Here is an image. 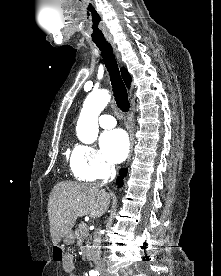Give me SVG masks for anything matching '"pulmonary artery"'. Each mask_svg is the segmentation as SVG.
<instances>
[{
  "label": "pulmonary artery",
  "mask_w": 221,
  "mask_h": 276,
  "mask_svg": "<svg viewBox=\"0 0 221 276\" xmlns=\"http://www.w3.org/2000/svg\"><path fill=\"white\" fill-rule=\"evenodd\" d=\"M99 125L104 129H110L116 125V121L110 115H101L99 117Z\"/></svg>",
  "instance_id": "1"
}]
</instances>
